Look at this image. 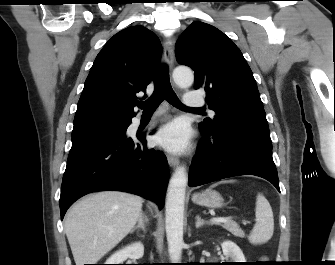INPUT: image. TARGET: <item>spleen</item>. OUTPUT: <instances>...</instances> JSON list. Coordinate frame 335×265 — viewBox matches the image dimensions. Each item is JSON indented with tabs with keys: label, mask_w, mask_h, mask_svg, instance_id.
I'll list each match as a JSON object with an SVG mask.
<instances>
[{
	"label": "spleen",
	"mask_w": 335,
	"mask_h": 265,
	"mask_svg": "<svg viewBox=\"0 0 335 265\" xmlns=\"http://www.w3.org/2000/svg\"><path fill=\"white\" fill-rule=\"evenodd\" d=\"M222 182H233V180ZM216 185L217 184H214L211 187H214ZM255 216L256 223L248 239L250 243L257 245L267 242L272 237L274 231V218L272 208L268 200L262 194H258L256 198Z\"/></svg>",
	"instance_id": "spleen-1"
}]
</instances>
